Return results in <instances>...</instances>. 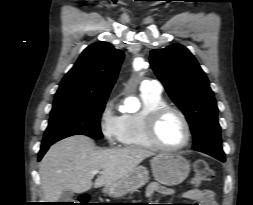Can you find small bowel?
I'll return each instance as SVG.
<instances>
[{"label": "small bowel", "instance_id": "small-bowel-1", "mask_svg": "<svg viewBox=\"0 0 253 205\" xmlns=\"http://www.w3.org/2000/svg\"><path fill=\"white\" fill-rule=\"evenodd\" d=\"M154 194L170 195L172 190L157 183H151L147 188V196H153ZM183 196L196 202V205H216L212 192L207 189L187 190L183 193Z\"/></svg>", "mask_w": 253, "mask_h": 205}]
</instances>
